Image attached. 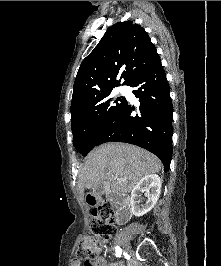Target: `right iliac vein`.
Returning a JSON list of instances; mask_svg holds the SVG:
<instances>
[{"mask_svg": "<svg viewBox=\"0 0 221 266\" xmlns=\"http://www.w3.org/2000/svg\"><path fill=\"white\" fill-rule=\"evenodd\" d=\"M123 249H124V251L127 252V253L130 252V247H129L128 245H124V246H123Z\"/></svg>", "mask_w": 221, "mask_h": 266, "instance_id": "right-iliac-vein-1", "label": "right iliac vein"}]
</instances>
